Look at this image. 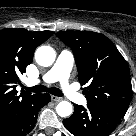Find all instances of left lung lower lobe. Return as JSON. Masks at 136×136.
<instances>
[{
  "label": "left lung lower lobe",
  "instance_id": "left-lung-lower-lobe-1",
  "mask_svg": "<svg viewBox=\"0 0 136 136\" xmlns=\"http://www.w3.org/2000/svg\"><path fill=\"white\" fill-rule=\"evenodd\" d=\"M71 117L64 119L67 130L75 136H107L125 112L87 103V108L76 105Z\"/></svg>",
  "mask_w": 136,
  "mask_h": 136
}]
</instances>
